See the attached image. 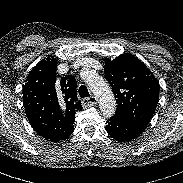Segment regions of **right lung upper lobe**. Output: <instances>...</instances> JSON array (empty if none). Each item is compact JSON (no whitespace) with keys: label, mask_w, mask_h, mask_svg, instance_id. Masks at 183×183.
I'll return each mask as SVG.
<instances>
[{"label":"right lung upper lobe","mask_w":183,"mask_h":183,"mask_svg":"<svg viewBox=\"0 0 183 183\" xmlns=\"http://www.w3.org/2000/svg\"><path fill=\"white\" fill-rule=\"evenodd\" d=\"M56 68L54 56L43 59L23 85L27 118L38 135L51 142L65 140L73 133L75 113L82 108L75 78H56Z\"/></svg>","instance_id":"obj_1"}]
</instances>
